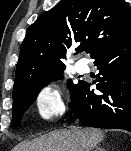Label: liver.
<instances>
[{"label": "liver", "mask_w": 131, "mask_h": 151, "mask_svg": "<svg viewBox=\"0 0 131 151\" xmlns=\"http://www.w3.org/2000/svg\"><path fill=\"white\" fill-rule=\"evenodd\" d=\"M104 140L102 131L93 128L59 130L36 138L32 142H22L13 151H91Z\"/></svg>", "instance_id": "obj_1"}]
</instances>
